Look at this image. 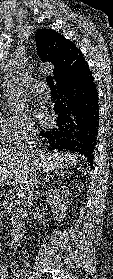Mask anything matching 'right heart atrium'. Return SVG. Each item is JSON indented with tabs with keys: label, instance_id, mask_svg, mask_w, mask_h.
<instances>
[{
	"label": "right heart atrium",
	"instance_id": "obj_1",
	"mask_svg": "<svg viewBox=\"0 0 113 279\" xmlns=\"http://www.w3.org/2000/svg\"><path fill=\"white\" fill-rule=\"evenodd\" d=\"M9 132L12 141L26 138L36 132L35 124L28 113L9 117Z\"/></svg>",
	"mask_w": 113,
	"mask_h": 279
}]
</instances>
